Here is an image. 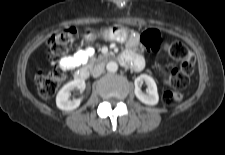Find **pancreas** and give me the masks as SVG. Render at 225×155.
<instances>
[{
	"label": "pancreas",
	"mask_w": 225,
	"mask_h": 155,
	"mask_svg": "<svg viewBox=\"0 0 225 155\" xmlns=\"http://www.w3.org/2000/svg\"><path fill=\"white\" fill-rule=\"evenodd\" d=\"M99 59H102V56H99ZM93 65V60L89 63V66L91 67Z\"/></svg>",
	"instance_id": "pancreas-1"
}]
</instances>
